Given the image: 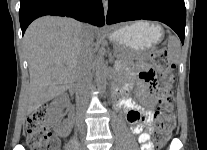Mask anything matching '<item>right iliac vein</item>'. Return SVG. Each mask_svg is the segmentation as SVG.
I'll return each mask as SVG.
<instances>
[{"instance_id":"right-iliac-vein-1","label":"right iliac vein","mask_w":207,"mask_h":150,"mask_svg":"<svg viewBox=\"0 0 207 150\" xmlns=\"http://www.w3.org/2000/svg\"><path fill=\"white\" fill-rule=\"evenodd\" d=\"M80 150H86V148H85L84 146H82V147L80 148Z\"/></svg>"}]
</instances>
